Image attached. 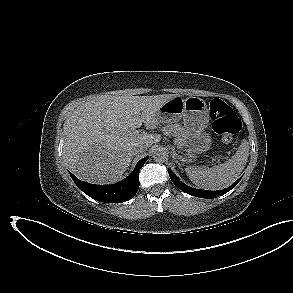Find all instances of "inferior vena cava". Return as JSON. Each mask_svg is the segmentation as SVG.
I'll return each instance as SVG.
<instances>
[{
    "label": "inferior vena cava",
    "instance_id": "obj_1",
    "mask_svg": "<svg viewBox=\"0 0 293 293\" xmlns=\"http://www.w3.org/2000/svg\"><path fill=\"white\" fill-rule=\"evenodd\" d=\"M145 151V146L136 145L133 149L134 154L143 153Z\"/></svg>",
    "mask_w": 293,
    "mask_h": 293
}]
</instances>
